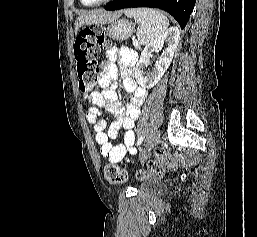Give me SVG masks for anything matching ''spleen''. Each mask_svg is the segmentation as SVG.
Segmentation results:
<instances>
[{"mask_svg":"<svg viewBox=\"0 0 257 237\" xmlns=\"http://www.w3.org/2000/svg\"><path fill=\"white\" fill-rule=\"evenodd\" d=\"M125 15L139 24L137 37L141 45H148L162 35L168 28V19L154 9H127Z\"/></svg>","mask_w":257,"mask_h":237,"instance_id":"3e777b00","label":"spleen"}]
</instances>
